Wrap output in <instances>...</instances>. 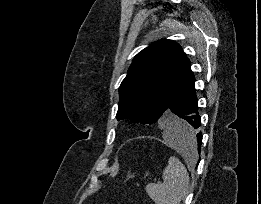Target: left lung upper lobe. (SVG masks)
I'll use <instances>...</instances> for the list:
<instances>
[{
	"mask_svg": "<svg viewBox=\"0 0 261 204\" xmlns=\"http://www.w3.org/2000/svg\"><path fill=\"white\" fill-rule=\"evenodd\" d=\"M190 72V61L173 40L139 52L119 87L117 119L152 124L165 118L171 100Z\"/></svg>",
	"mask_w": 261,
	"mask_h": 204,
	"instance_id": "left-lung-upper-lobe-1",
	"label": "left lung upper lobe"
}]
</instances>
